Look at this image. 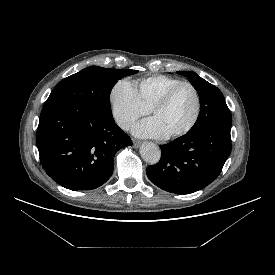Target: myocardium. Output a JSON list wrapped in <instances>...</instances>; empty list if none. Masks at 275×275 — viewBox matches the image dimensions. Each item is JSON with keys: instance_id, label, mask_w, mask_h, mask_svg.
<instances>
[{"instance_id": "1", "label": "myocardium", "mask_w": 275, "mask_h": 275, "mask_svg": "<svg viewBox=\"0 0 275 275\" xmlns=\"http://www.w3.org/2000/svg\"><path fill=\"white\" fill-rule=\"evenodd\" d=\"M184 86L191 88L192 91L194 92L195 99H196L195 113H194V116L191 119V121L184 128H182L181 130L176 131L174 133L168 134L166 136V138H168V139H174V138L184 136L185 134L189 133L197 124V122L200 118V115H201V110H202V100H201V96H200L198 89L192 83L187 82V81H182V82L176 84L175 86L171 87L169 90H167L164 93V95L150 109V113L153 115L157 110L162 109L165 106H167L169 104V102L171 101L172 97L174 96V94L181 87H184Z\"/></svg>"}]
</instances>
